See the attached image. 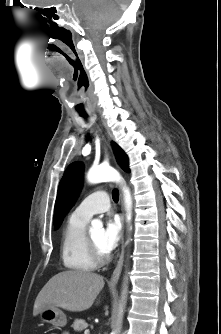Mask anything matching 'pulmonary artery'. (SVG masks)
Segmentation results:
<instances>
[{
  "label": "pulmonary artery",
  "mask_w": 221,
  "mask_h": 334,
  "mask_svg": "<svg viewBox=\"0 0 221 334\" xmlns=\"http://www.w3.org/2000/svg\"><path fill=\"white\" fill-rule=\"evenodd\" d=\"M110 207V198L105 190H97L88 195L73 211V214L84 220L93 215L105 212Z\"/></svg>",
  "instance_id": "pulmonary-artery-1"
}]
</instances>
